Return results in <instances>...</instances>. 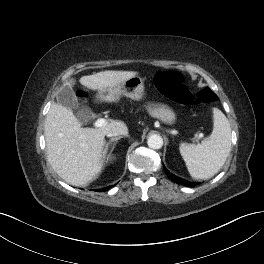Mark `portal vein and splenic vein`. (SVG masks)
<instances>
[{"instance_id": "18ae733b", "label": "portal vein and splenic vein", "mask_w": 264, "mask_h": 264, "mask_svg": "<svg viewBox=\"0 0 264 264\" xmlns=\"http://www.w3.org/2000/svg\"><path fill=\"white\" fill-rule=\"evenodd\" d=\"M106 124H107L106 119L100 118V119H97V120L94 122V127L99 128V127H103V126H105Z\"/></svg>"}]
</instances>
